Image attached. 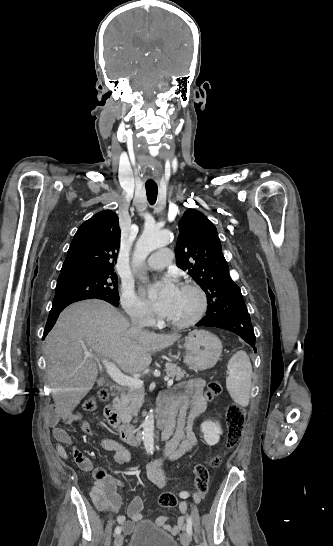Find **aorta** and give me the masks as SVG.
Masks as SVG:
<instances>
[{
    "mask_svg": "<svg viewBox=\"0 0 333 546\" xmlns=\"http://www.w3.org/2000/svg\"><path fill=\"white\" fill-rule=\"evenodd\" d=\"M171 240L170 232L166 230L145 229L136 242L133 253V264L140 267L149 254ZM142 439L144 449L148 454L154 452V415L150 411L143 423Z\"/></svg>",
    "mask_w": 333,
    "mask_h": 546,
    "instance_id": "1",
    "label": "aorta"
}]
</instances>
